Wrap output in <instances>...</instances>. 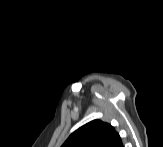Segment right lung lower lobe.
<instances>
[{
  "label": "right lung lower lobe",
  "mask_w": 163,
  "mask_h": 147,
  "mask_svg": "<svg viewBox=\"0 0 163 147\" xmlns=\"http://www.w3.org/2000/svg\"><path fill=\"white\" fill-rule=\"evenodd\" d=\"M116 147H123L122 141Z\"/></svg>",
  "instance_id": "98d812e1"
}]
</instances>
